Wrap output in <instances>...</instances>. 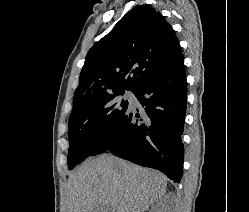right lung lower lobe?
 I'll list each match as a JSON object with an SVG mask.
<instances>
[{
    "mask_svg": "<svg viewBox=\"0 0 249 212\" xmlns=\"http://www.w3.org/2000/svg\"><path fill=\"white\" fill-rule=\"evenodd\" d=\"M133 93L142 107L141 117L129 107L111 128L96 155L109 151L138 165L157 169L179 183L183 173L181 135L187 99L184 56Z\"/></svg>",
    "mask_w": 249,
    "mask_h": 212,
    "instance_id": "obj_1",
    "label": "right lung lower lobe"
}]
</instances>
